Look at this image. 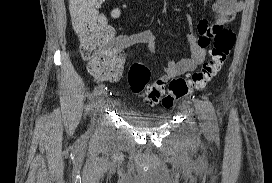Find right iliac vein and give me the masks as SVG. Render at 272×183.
<instances>
[{"label":"right iliac vein","mask_w":272,"mask_h":183,"mask_svg":"<svg viewBox=\"0 0 272 183\" xmlns=\"http://www.w3.org/2000/svg\"><path fill=\"white\" fill-rule=\"evenodd\" d=\"M106 96V92L104 91L103 93H101L100 95H98L97 99H96V105L97 107L101 106V104L104 102Z\"/></svg>","instance_id":"right-iliac-vein-1"}]
</instances>
